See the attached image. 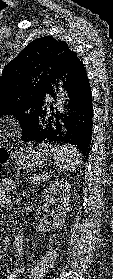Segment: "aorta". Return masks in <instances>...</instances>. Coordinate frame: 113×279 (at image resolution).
<instances>
[{"mask_svg":"<svg viewBox=\"0 0 113 279\" xmlns=\"http://www.w3.org/2000/svg\"><path fill=\"white\" fill-rule=\"evenodd\" d=\"M69 96L67 91L61 86L60 83V88L58 91V102H57V106L59 110H62L64 108V105H66V102L68 101Z\"/></svg>","mask_w":113,"mask_h":279,"instance_id":"obj_1","label":"aorta"}]
</instances>
